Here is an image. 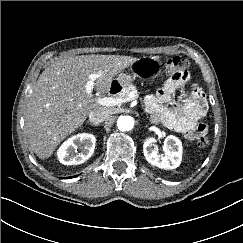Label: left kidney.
Instances as JSON below:
<instances>
[{
    "mask_svg": "<svg viewBox=\"0 0 243 243\" xmlns=\"http://www.w3.org/2000/svg\"><path fill=\"white\" fill-rule=\"evenodd\" d=\"M164 155L158 153L156 139L149 137L143 143V153L146 160L153 166L160 169H175L182 159V143L173 136L169 135L164 141Z\"/></svg>",
    "mask_w": 243,
    "mask_h": 243,
    "instance_id": "5707ae66",
    "label": "left kidney"
}]
</instances>
